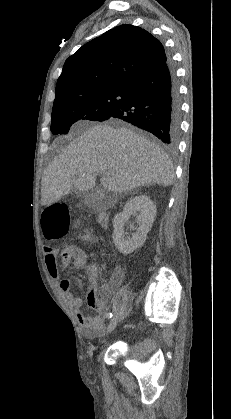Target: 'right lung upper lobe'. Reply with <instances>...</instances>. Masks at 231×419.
<instances>
[{"instance_id": "right-lung-upper-lobe-1", "label": "right lung upper lobe", "mask_w": 231, "mask_h": 419, "mask_svg": "<svg viewBox=\"0 0 231 419\" xmlns=\"http://www.w3.org/2000/svg\"><path fill=\"white\" fill-rule=\"evenodd\" d=\"M166 60L164 47L149 32L133 25L118 26L65 61L54 103L103 88L128 89Z\"/></svg>"}]
</instances>
